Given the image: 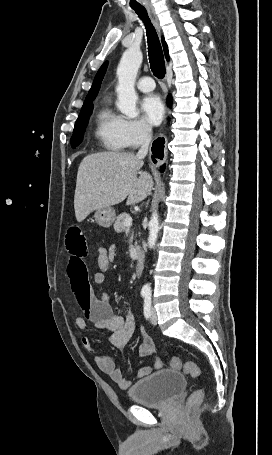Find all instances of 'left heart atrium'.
Listing matches in <instances>:
<instances>
[{"instance_id": "39dd6f15", "label": "left heart atrium", "mask_w": 272, "mask_h": 455, "mask_svg": "<svg viewBox=\"0 0 272 455\" xmlns=\"http://www.w3.org/2000/svg\"><path fill=\"white\" fill-rule=\"evenodd\" d=\"M145 119L151 125H158L164 115V106L157 95H148L141 102Z\"/></svg>"}]
</instances>
